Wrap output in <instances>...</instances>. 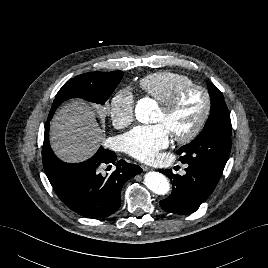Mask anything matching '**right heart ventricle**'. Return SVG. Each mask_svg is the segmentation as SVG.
I'll return each mask as SVG.
<instances>
[{"instance_id": "right-heart-ventricle-1", "label": "right heart ventricle", "mask_w": 268, "mask_h": 268, "mask_svg": "<svg viewBox=\"0 0 268 268\" xmlns=\"http://www.w3.org/2000/svg\"><path fill=\"white\" fill-rule=\"evenodd\" d=\"M191 83L192 81L183 74L171 70H161L143 77L139 81V86L159 104H163L180 87Z\"/></svg>"}]
</instances>
